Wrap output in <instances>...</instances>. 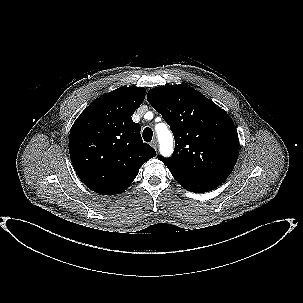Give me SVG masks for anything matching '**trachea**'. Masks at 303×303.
<instances>
[{
  "label": "trachea",
  "instance_id": "obj_1",
  "mask_svg": "<svg viewBox=\"0 0 303 303\" xmlns=\"http://www.w3.org/2000/svg\"><path fill=\"white\" fill-rule=\"evenodd\" d=\"M152 137H153V131H152V129L149 128V127H146L143 130V139H144V141L150 142L152 140Z\"/></svg>",
  "mask_w": 303,
  "mask_h": 303
}]
</instances>
